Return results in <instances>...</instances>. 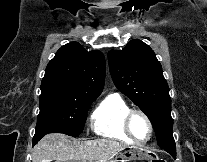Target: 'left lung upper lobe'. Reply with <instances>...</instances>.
Returning a JSON list of instances; mask_svg holds the SVG:
<instances>
[{
	"label": "left lung upper lobe",
	"mask_w": 207,
	"mask_h": 162,
	"mask_svg": "<svg viewBox=\"0 0 207 162\" xmlns=\"http://www.w3.org/2000/svg\"><path fill=\"white\" fill-rule=\"evenodd\" d=\"M108 61L116 87L148 116L159 146L175 144L169 87L152 49L133 39L122 50L110 51Z\"/></svg>",
	"instance_id": "5c2ea615"
}]
</instances>
